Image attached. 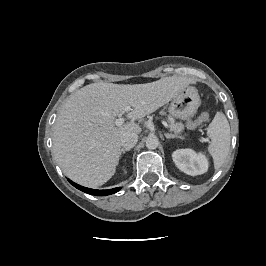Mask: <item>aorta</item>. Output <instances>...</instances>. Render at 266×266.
Listing matches in <instances>:
<instances>
[{
	"instance_id": "762f6f07",
	"label": "aorta",
	"mask_w": 266,
	"mask_h": 266,
	"mask_svg": "<svg viewBox=\"0 0 266 266\" xmlns=\"http://www.w3.org/2000/svg\"><path fill=\"white\" fill-rule=\"evenodd\" d=\"M159 145V140L156 136H149L146 140V147L150 150L156 149Z\"/></svg>"
}]
</instances>
